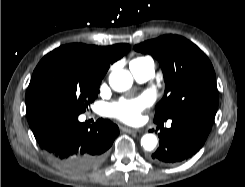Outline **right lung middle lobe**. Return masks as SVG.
<instances>
[{
  "label": "right lung middle lobe",
  "instance_id": "1",
  "mask_svg": "<svg viewBox=\"0 0 245 187\" xmlns=\"http://www.w3.org/2000/svg\"><path fill=\"white\" fill-rule=\"evenodd\" d=\"M102 78L80 50L66 45L53 50L39 62L27 89L28 121L50 111L85 112Z\"/></svg>",
  "mask_w": 245,
  "mask_h": 187
}]
</instances>
